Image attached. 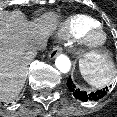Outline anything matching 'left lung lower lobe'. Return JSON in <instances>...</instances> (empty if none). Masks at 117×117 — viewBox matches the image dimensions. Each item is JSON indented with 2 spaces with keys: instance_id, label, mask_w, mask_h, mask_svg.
Instances as JSON below:
<instances>
[{
  "instance_id": "left-lung-lower-lobe-1",
  "label": "left lung lower lobe",
  "mask_w": 117,
  "mask_h": 117,
  "mask_svg": "<svg viewBox=\"0 0 117 117\" xmlns=\"http://www.w3.org/2000/svg\"><path fill=\"white\" fill-rule=\"evenodd\" d=\"M67 86L69 90L73 93V95L81 101H97L103 98L108 92V87H106L103 90H98L96 92L91 93L81 91L79 88L75 86L71 78L68 79Z\"/></svg>"
}]
</instances>
